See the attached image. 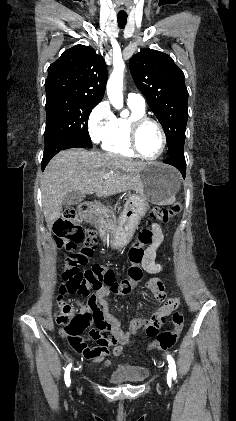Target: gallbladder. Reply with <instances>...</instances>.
Segmentation results:
<instances>
[{
	"mask_svg": "<svg viewBox=\"0 0 236 421\" xmlns=\"http://www.w3.org/2000/svg\"><path fill=\"white\" fill-rule=\"evenodd\" d=\"M84 196V192H79V190H70V192L65 194L62 204H78V202L83 200Z\"/></svg>",
	"mask_w": 236,
	"mask_h": 421,
	"instance_id": "gallbladder-1",
	"label": "gallbladder"
}]
</instances>
